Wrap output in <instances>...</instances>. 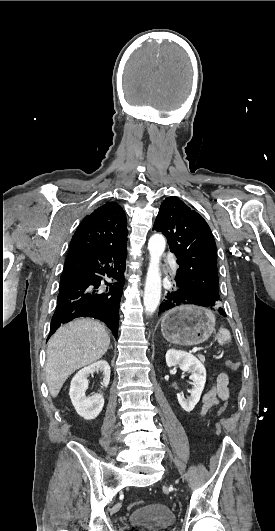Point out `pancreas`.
<instances>
[{
	"label": "pancreas",
	"mask_w": 275,
	"mask_h": 531,
	"mask_svg": "<svg viewBox=\"0 0 275 531\" xmlns=\"http://www.w3.org/2000/svg\"><path fill=\"white\" fill-rule=\"evenodd\" d=\"M198 357H199L201 363H204V361H205L204 355H198Z\"/></svg>",
	"instance_id": "1"
}]
</instances>
